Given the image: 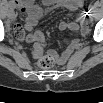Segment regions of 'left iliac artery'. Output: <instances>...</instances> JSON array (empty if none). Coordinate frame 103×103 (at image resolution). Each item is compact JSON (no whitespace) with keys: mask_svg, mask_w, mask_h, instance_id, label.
Instances as JSON below:
<instances>
[{"mask_svg":"<svg viewBox=\"0 0 103 103\" xmlns=\"http://www.w3.org/2000/svg\"><path fill=\"white\" fill-rule=\"evenodd\" d=\"M93 12H94V6L93 5H89L87 14L89 16H93Z\"/></svg>","mask_w":103,"mask_h":103,"instance_id":"1","label":"left iliac artery"}]
</instances>
